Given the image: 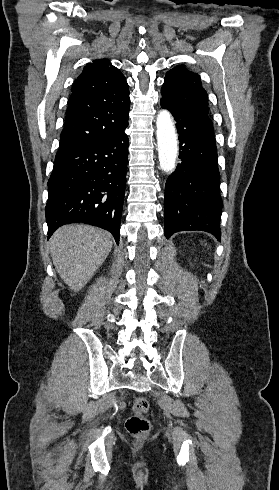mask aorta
Listing matches in <instances>:
<instances>
[{
	"instance_id": "762f6f07",
	"label": "aorta",
	"mask_w": 279,
	"mask_h": 490,
	"mask_svg": "<svg viewBox=\"0 0 279 490\" xmlns=\"http://www.w3.org/2000/svg\"><path fill=\"white\" fill-rule=\"evenodd\" d=\"M156 128L160 168L170 174L176 166L178 141L173 118L167 110L158 113Z\"/></svg>"
}]
</instances>
